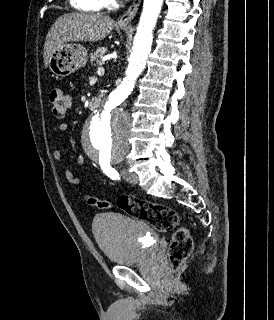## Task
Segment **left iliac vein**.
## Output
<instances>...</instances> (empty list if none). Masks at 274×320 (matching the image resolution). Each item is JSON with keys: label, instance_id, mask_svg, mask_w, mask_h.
<instances>
[{"label": "left iliac vein", "instance_id": "left-iliac-vein-1", "mask_svg": "<svg viewBox=\"0 0 274 320\" xmlns=\"http://www.w3.org/2000/svg\"><path fill=\"white\" fill-rule=\"evenodd\" d=\"M121 174L127 182L132 184L138 183V176L135 173L130 172L128 169H122Z\"/></svg>", "mask_w": 274, "mask_h": 320}]
</instances>
